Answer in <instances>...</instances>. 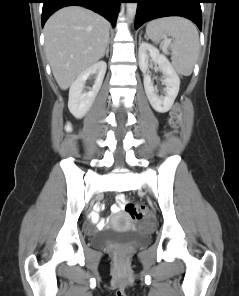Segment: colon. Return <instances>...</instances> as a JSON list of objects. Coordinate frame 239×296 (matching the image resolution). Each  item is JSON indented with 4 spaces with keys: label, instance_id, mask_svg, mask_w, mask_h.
<instances>
[{
    "label": "colon",
    "instance_id": "colon-1",
    "mask_svg": "<svg viewBox=\"0 0 239 296\" xmlns=\"http://www.w3.org/2000/svg\"><path fill=\"white\" fill-rule=\"evenodd\" d=\"M180 117L181 112L178 105H175L170 112L168 124L169 127L173 130H176L180 126ZM125 211L130 215L134 220H141L148 216L147 208L139 203L127 202L125 205Z\"/></svg>",
    "mask_w": 239,
    "mask_h": 296
}]
</instances>
